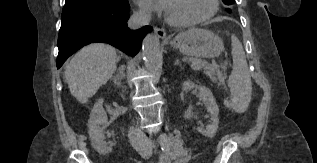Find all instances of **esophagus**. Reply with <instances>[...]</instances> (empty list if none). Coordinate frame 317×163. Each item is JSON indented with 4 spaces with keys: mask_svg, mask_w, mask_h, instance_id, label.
<instances>
[{
    "mask_svg": "<svg viewBox=\"0 0 317 163\" xmlns=\"http://www.w3.org/2000/svg\"><path fill=\"white\" fill-rule=\"evenodd\" d=\"M154 33L161 39L166 38V31L163 28L154 27Z\"/></svg>",
    "mask_w": 317,
    "mask_h": 163,
    "instance_id": "1",
    "label": "esophagus"
}]
</instances>
